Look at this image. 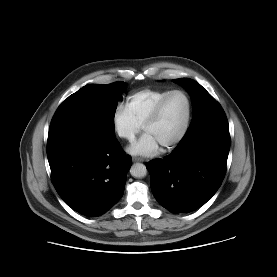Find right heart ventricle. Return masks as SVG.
<instances>
[{
  "label": "right heart ventricle",
  "instance_id": "obj_1",
  "mask_svg": "<svg viewBox=\"0 0 277 277\" xmlns=\"http://www.w3.org/2000/svg\"><path fill=\"white\" fill-rule=\"evenodd\" d=\"M170 89H144L130 95L126 107L135 121L141 126L153 112L158 102Z\"/></svg>",
  "mask_w": 277,
  "mask_h": 277
}]
</instances>
